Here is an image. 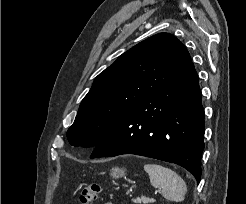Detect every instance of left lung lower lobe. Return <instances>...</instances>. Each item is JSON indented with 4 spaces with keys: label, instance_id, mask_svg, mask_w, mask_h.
<instances>
[{
    "label": "left lung lower lobe",
    "instance_id": "obj_1",
    "mask_svg": "<svg viewBox=\"0 0 246 204\" xmlns=\"http://www.w3.org/2000/svg\"><path fill=\"white\" fill-rule=\"evenodd\" d=\"M204 131L198 76L190 63L115 124L90 158L151 157L184 167L199 183Z\"/></svg>",
    "mask_w": 246,
    "mask_h": 204
}]
</instances>
